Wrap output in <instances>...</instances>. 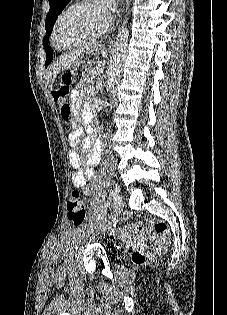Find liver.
<instances>
[{"label":"liver","mask_w":227,"mask_h":315,"mask_svg":"<svg viewBox=\"0 0 227 315\" xmlns=\"http://www.w3.org/2000/svg\"><path fill=\"white\" fill-rule=\"evenodd\" d=\"M82 55L81 52H71L64 56L59 57L50 66V70L46 74V84L49 86L50 90H53V84L57 75L60 72L69 70L72 66L79 64V57Z\"/></svg>","instance_id":"1"}]
</instances>
